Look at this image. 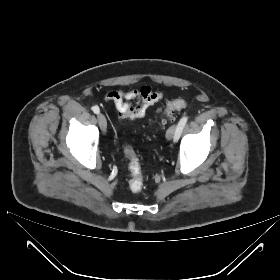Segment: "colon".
Returning <instances> with one entry per match:
<instances>
[{
  "instance_id": "5ec220e1",
  "label": "colon",
  "mask_w": 280,
  "mask_h": 280,
  "mask_svg": "<svg viewBox=\"0 0 280 280\" xmlns=\"http://www.w3.org/2000/svg\"><path fill=\"white\" fill-rule=\"evenodd\" d=\"M187 107V103L184 100H175L170 102L165 111L164 116L173 117L177 110H181ZM164 120H162V123ZM126 155L129 159V170L131 172V179L129 181V187L132 192L138 193L143 189L144 180L141 170V165L138 157L130 147H126Z\"/></svg>"
}]
</instances>
